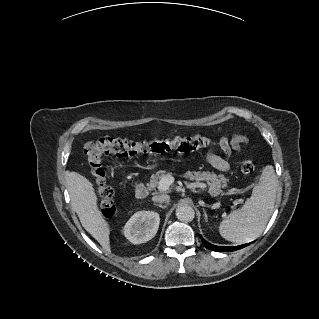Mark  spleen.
I'll return each mask as SVG.
<instances>
[{
    "mask_svg": "<svg viewBox=\"0 0 319 319\" xmlns=\"http://www.w3.org/2000/svg\"><path fill=\"white\" fill-rule=\"evenodd\" d=\"M278 180L272 165H267L252 195L238 210L230 213L219 225V233L233 243L256 239L265 229L273 212Z\"/></svg>",
    "mask_w": 319,
    "mask_h": 319,
    "instance_id": "obj_1",
    "label": "spleen"
}]
</instances>
